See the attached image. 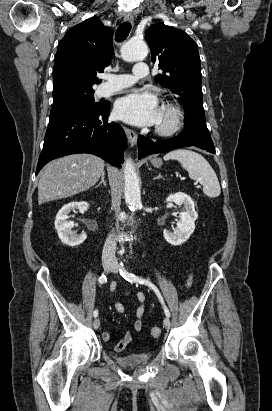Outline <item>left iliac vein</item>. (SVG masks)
<instances>
[{
  "label": "left iliac vein",
  "instance_id": "4c4485c4",
  "mask_svg": "<svg viewBox=\"0 0 272 411\" xmlns=\"http://www.w3.org/2000/svg\"><path fill=\"white\" fill-rule=\"evenodd\" d=\"M119 269H120V266L116 263V262H113L112 263V268H111V272H114V273H118L119 272ZM163 325H164V327L166 328V329H169L170 328V326H171V322H170V319L168 318V317H165L164 318V320H163Z\"/></svg>",
  "mask_w": 272,
  "mask_h": 411
}]
</instances>
